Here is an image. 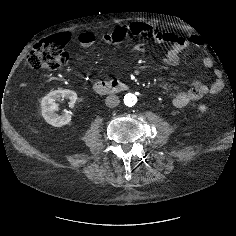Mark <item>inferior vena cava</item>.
<instances>
[{
    "instance_id": "inferior-vena-cava-1",
    "label": "inferior vena cava",
    "mask_w": 236,
    "mask_h": 236,
    "mask_svg": "<svg viewBox=\"0 0 236 236\" xmlns=\"http://www.w3.org/2000/svg\"><path fill=\"white\" fill-rule=\"evenodd\" d=\"M119 102H120L119 97L116 95H109L105 99L106 106L110 107V108H114V107L118 106Z\"/></svg>"
}]
</instances>
